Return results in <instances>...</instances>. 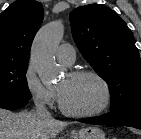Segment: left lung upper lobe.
Instances as JSON below:
<instances>
[{
  "instance_id": "left-lung-upper-lobe-1",
  "label": "left lung upper lobe",
  "mask_w": 141,
  "mask_h": 139,
  "mask_svg": "<svg viewBox=\"0 0 141 139\" xmlns=\"http://www.w3.org/2000/svg\"><path fill=\"white\" fill-rule=\"evenodd\" d=\"M72 35L86 61L107 82L110 111L141 102V63L131 30L113 10L100 4L74 9Z\"/></svg>"
}]
</instances>
